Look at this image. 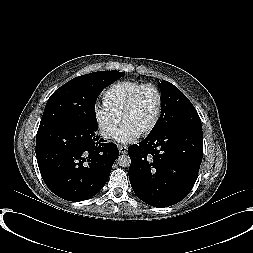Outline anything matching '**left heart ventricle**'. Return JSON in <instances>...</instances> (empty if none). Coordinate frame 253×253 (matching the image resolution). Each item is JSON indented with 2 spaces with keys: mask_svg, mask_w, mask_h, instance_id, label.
Returning <instances> with one entry per match:
<instances>
[{
  "mask_svg": "<svg viewBox=\"0 0 253 253\" xmlns=\"http://www.w3.org/2000/svg\"><path fill=\"white\" fill-rule=\"evenodd\" d=\"M158 107V97L154 90H144L133 108L127 113L123 123L138 132L146 129L154 119Z\"/></svg>",
  "mask_w": 253,
  "mask_h": 253,
  "instance_id": "left-heart-ventricle-1",
  "label": "left heart ventricle"
}]
</instances>
